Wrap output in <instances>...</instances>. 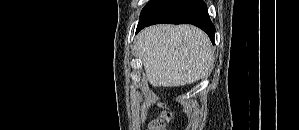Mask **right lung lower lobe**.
I'll return each mask as SVG.
<instances>
[{
	"mask_svg": "<svg viewBox=\"0 0 299 130\" xmlns=\"http://www.w3.org/2000/svg\"><path fill=\"white\" fill-rule=\"evenodd\" d=\"M158 23L193 24L205 31L214 43L215 27L202 0H152L141 12L136 33Z\"/></svg>",
	"mask_w": 299,
	"mask_h": 130,
	"instance_id": "obj_1",
	"label": "right lung lower lobe"
}]
</instances>
